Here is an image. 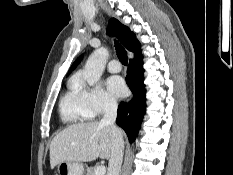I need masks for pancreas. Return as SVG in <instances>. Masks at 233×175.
<instances>
[{"label":"pancreas","mask_w":233,"mask_h":175,"mask_svg":"<svg viewBox=\"0 0 233 175\" xmlns=\"http://www.w3.org/2000/svg\"><path fill=\"white\" fill-rule=\"evenodd\" d=\"M95 167L94 168H88L86 175H95Z\"/></svg>","instance_id":"1"}]
</instances>
